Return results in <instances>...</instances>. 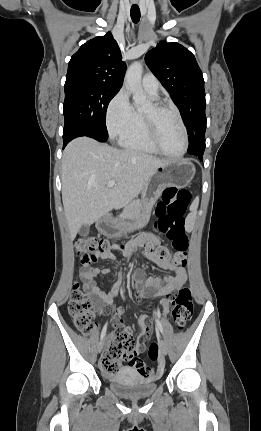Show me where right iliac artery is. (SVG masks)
<instances>
[{"mask_svg":"<svg viewBox=\"0 0 261 431\" xmlns=\"http://www.w3.org/2000/svg\"><path fill=\"white\" fill-rule=\"evenodd\" d=\"M106 330H107V323L104 325V327H103V329H102V332H101V340L104 338V336H105V333H106Z\"/></svg>","mask_w":261,"mask_h":431,"instance_id":"right-iliac-artery-1","label":"right iliac artery"}]
</instances>
